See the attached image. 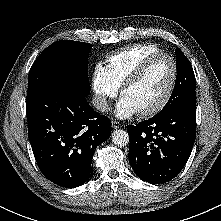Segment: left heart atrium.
I'll list each match as a JSON object with an SVG mask.
<instances>
[{"label": "left heart atrium", "instance_id": "39dd6f15", "mask_svg": "<svg viewBox=\"0 0 221 221\" xmlns=\"http://www.w3.org/2000/svg\"><path fill=\"white\" fill-rule=\"evenodd\" d=\"M137 112H139L137 107L125 96L121 97L115 110V114L119 118H128Z\"/></svg>", "mask_w": 221, "mask_h": 221}]
</instances>
